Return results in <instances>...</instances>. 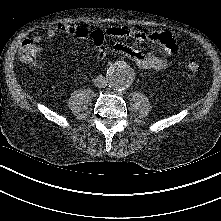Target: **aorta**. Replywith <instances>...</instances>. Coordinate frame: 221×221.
<instances>
[{
    "instance_id": "aorta-1",
    "label": "aorta",
    "mask_w": 221,
    "mask_h": 221,
    "mask_svg": "<svg viewBox=\"0 0 221 221\" xmlns=\"http://www.w3.org/2000/svg\"><path fill=\"white\" fill-rule=\"evenodd\" d=\"M133 72L124 61L112 63L107 68L106 77L109 86L115 90H124L133 82Z\"/></svg>"
}]
</instances>
